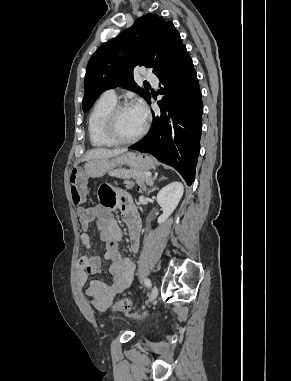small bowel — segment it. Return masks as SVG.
Here are the masks:
<instances>
[{
    "label": "small bowel",
    "instance_id": "small-bowel-1",
    "mask_svg": "<svg viewBox=\"0 0 291 381\" xmlns=\"http://www.w3.org/2000/svg\"><path fill=\"white\" fill-rule=\"evenodd\" d=\"M100 196L108 197L111 203L106 205L101 202L85 209L80 216V241L87 249L91 248L92 242L88 229L91 222L97 221L100 238L106 245L104 258L109 262L111 282L94 279L90 281L86 292L91 298V305L98 311H105L113 298L131 285L135 265L130 258L123 257L118 249L122 231L111 214V208L114 207L117 199L116 192L114 189L106 187L100 189ZM118 208L128 229L130 248L133 252H138L141 221L128 195L120 194ZM77 267V281L81 287L86 283L89 275L99 274L102 271L101 259L98 256L80 257Z\"/></svg>",
    "mask_w": 291,
    "mask_h": 381
}]
</instances>
